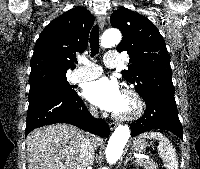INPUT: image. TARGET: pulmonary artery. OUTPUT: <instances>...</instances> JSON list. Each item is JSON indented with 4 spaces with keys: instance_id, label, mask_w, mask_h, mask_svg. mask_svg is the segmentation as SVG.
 <instances>
[{
    "instance_id": "1",
    "label": "pulmonary artery",
    "mask_w": 200,
    "mask_h": 169,
    "mask_svg": "<svg viewBox=\"0 0 200 169\" xmlns=\"http://www.w3.org/2000/svg\"><path fill=\"white\" fill-rule=\"evenodd\" d=\"M119 61L120 58L117 53L109 52L104 60V63L108 68H112L117 66ZM85 64L87 66H90L91 69H88L87 67L84 66L77 69L71 78L72 82L78 83V82L89 81L94 78H97L102 74L103 70L99 65L89 62Z\"/></svg>"
}]
</instances>
